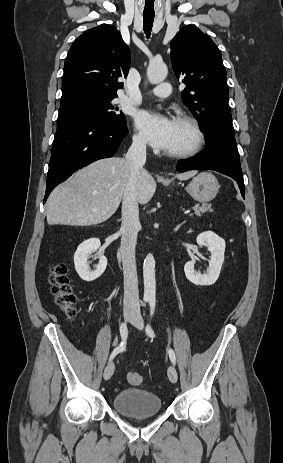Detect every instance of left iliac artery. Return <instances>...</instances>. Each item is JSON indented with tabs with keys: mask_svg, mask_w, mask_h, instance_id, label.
Instances as JSON below:
<instances>
[{
	"mask_svg": "<svg viewBox=\"0 0 283 463\" xmlns=\"http://www.w3.org/2000/svg\"><path fill=\"white\" fill-rule=\"evenodd\" d=\"M155 299H151L149 301V304H150V318H152L153 314H154V310H155ZM146 333L149 337L153 338L155 337V333L150 325V322L147 324L146 326ZM168 353H169V357H170V360L173 364L176 363V357H175V353L172 349H169L168 350Z\"/></svg>",
	"mask_w": 283,
	"mask_h": 463,
	"instance_id": "44dca946",
	"label": "left iliac artery"
}]
</instances>
